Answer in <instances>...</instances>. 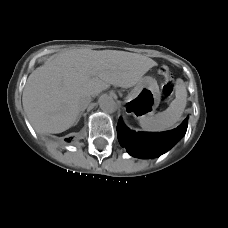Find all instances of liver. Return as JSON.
Instances as JSON below:
<instances>
[{
  "instance_id": "6515ba94",
  "label": "liver",
  "mask_w": 228,
  "mask_h": 228,
  "mask_svg": "<svg viewBox=\"0 0 228 228\" xmlns=\"http://www.w3.org/2000/svg\"><path fill=\"white\" fill-rule=\"evenodd\" d=\"M157 63L146 56L116 50H71L34 70L22 104L39 133H61L78 118L77 99L97 96L110 85L130 88Z\"/></svg>"
}]
</instances>
